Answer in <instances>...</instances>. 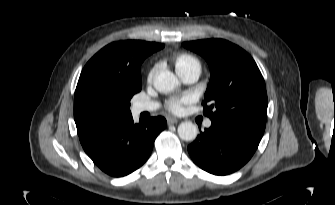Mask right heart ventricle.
<instances>
[{
	"label": "right heart ventricle",
	"mask_w": 335,
	"mask_h": 205,
	"mask_svg": "<svg viewBox=\"0 0 335 205\" xmlns=\"http://www.w3.org/2000/svg\"><path fill=\"white\" fill-rule=\"evenodd\" d=\"M174 64H175L177 73H181L186 70L194 69V68L199 69V70L201 69V64L198 58L188 53H183V54L178 55L175 58Z\"/></svg>",
	"instance_id": "e07e8e85"
}]
</instances>
